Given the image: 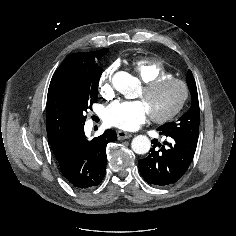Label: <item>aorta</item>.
Here are the masks:
<instances>
[{"label": "aorta", "instance_id": "1", "mask_svg": "<svg viewBox=\"0 0 236 236\" xmlns=\"http://www.w3.org/2000/svg\"><path fill=\"white\" fill-rule=\"evenodd\" d=\"M114 86L126 98H133L134 92L139 87L137 81L126 72L115 76ZM131 148L136 154H146L151 148V141L145 135H138L133 138Z\"/></svg>", "mask_w": 236, "mask_h": 236}]
</instances>
